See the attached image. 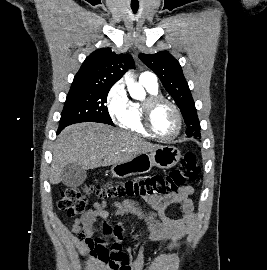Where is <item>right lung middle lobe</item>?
Segmentation results:
<instances>
[{
	"label": "right lung middle lobe",
	"mask_w": 267,
	"mask_h": 270,
	"mask_svg": "<svg viewBox=\"0 0 267 270\" xmlns=\"http://www.w3.org/2000/svg\"><path fill=\"white\" fill-rule=\"evenodd\" d=\"M112 86H71L61 113L59 130L79 122H100L114 125L107 106V95Z\"/></svg>",
	"instance_id": "obj_1"
}]
</instances>
